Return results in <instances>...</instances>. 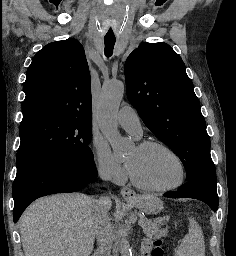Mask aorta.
Masks as SVG:
<instances>
[{
    "instance_id": "762f6f07",
    "label": "aorta",
    "mask_w": 236,
    "mask_h": 256,
    "mask_svg": "<svg viewBox=\"0 0 236 256\" xmlns=\"http://www.w3.org/2000/svg\"><path fill=\"white\" fill-rule=\"evenodd\" d=\"M125 91V84L120 80L107 82L102 86L98 103V116L100 128L116 151H121L123 142L118 132L116 115ZM121 256H132L127 233L121 229L118 233Z\"/></svg>"
}]
</instances>
